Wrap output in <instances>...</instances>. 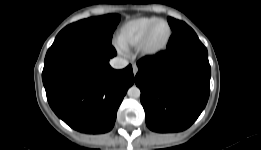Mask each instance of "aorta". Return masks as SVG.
I'll return each mask as SVG.
<instances>
[{
	"label": "aorta",
	"instance_id": "aorta-1",
	"mask_svg": "<svg viewBox=\"0 0 261 150\" xmlns=\"http://www.w3.org/2000/svg\"><path fill=\"white\" fill-rule=\"evenodd\" d=\"M127 94L130 98H139L141 95V92L137 86H132L128 89Z\"/></svg>",
	"mask_w": 261,
	"mask_h": 150
}]
</instances>
